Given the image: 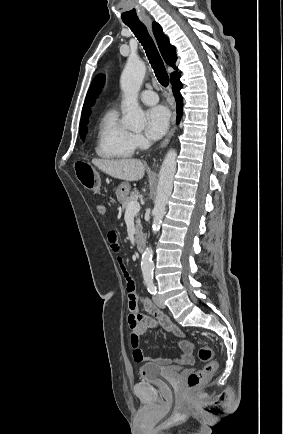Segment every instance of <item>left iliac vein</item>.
Here are the masks:
<instances>
[{"label":"left iliac vein","instance_id":"obj_1","mask_svg":"<svg viewBox=\"0 0 283 434\" xmlns=\"http://www.w3.org/2000/svg\"><path fill=\"white\" fill-rule=\"evenodd\" d=\"M153 300L159 308H165L166 307L163 300L158 295H155Z\"/></svg>","mask_w":283,"mask_h":434}]
</instances>
